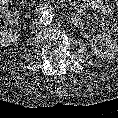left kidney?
Masks as SVG:
<instances>
[{"label": "left kidney", "instance_id": "5707ae66", "mask_svg": "<svg viewBox=\"0 0 118 118\" xmlns=\"http://www.w3.org/2000/svg\"><path fill=\"white\" fill-rule=\"evenodd\" d=\"M101 44L106 45L105 50H103L102 46H98ZM91 47L95 55L107 60L113 59L118 54V43L105 32L97 34L92 38Z\"/></svg>", "mask_w": 118, "mask_h": 118}]
</instances>
